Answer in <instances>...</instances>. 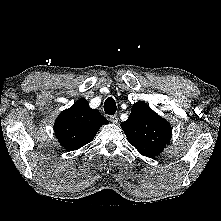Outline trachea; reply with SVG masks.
Returning <instances> with one entry per match:
<instances>
[{"label":"trachea","instance_id":"3493384b","mask_svg":"<svg viewBox=\"0 0 221 221\" xmlns=\"http://www.w3.org/2000/svg\"><path fill=\"white\" fill-rule=\"evenodd\" d=\"M117 110L116 102L112 97H109L104 102V111L108 115H114Z\"/></svg>","mask_w":221,"mask_h":221}]
</instances>
